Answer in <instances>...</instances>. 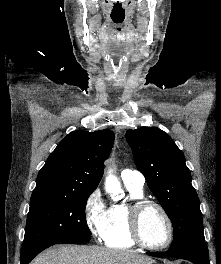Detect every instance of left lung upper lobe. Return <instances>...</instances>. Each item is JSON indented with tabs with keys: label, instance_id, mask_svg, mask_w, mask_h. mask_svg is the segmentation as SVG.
Masks as SVG:
<instances>
[{
	"label": "left lung upper lobe",
	"instance_id": "1",
	"mask_svg": "<svg viewBox=\"0 0 221 264\" xmlns=\"http://www.w3.org/2000/svg\"><path fill=\"white\" fill-rule=\"evenodd\" d=\"M126 139L137 169L171 219L174 231L171 247L204 243L199 198L191 184L183 152L169 135L156 127L128 130Z\"/></svg>",
	"mask_w": 221,
	"mask_h": 264
}]
</instances>
